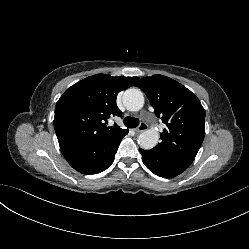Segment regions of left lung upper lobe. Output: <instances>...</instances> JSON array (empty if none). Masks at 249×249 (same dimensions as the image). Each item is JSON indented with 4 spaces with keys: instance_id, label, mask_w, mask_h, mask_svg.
<instances>
[{
    "instance_id": "left-lung-upper-lobe-1",
    "label": "left lung upper lobe",
    "mask_w": 249,
    "mask_h": 249,
    "mask_svg": "<svg viewBox=\"0 0 249 249\" xmlns=\"http://www.w3.org/2000/svg\"><path fill=\"white\" fill-rule=\"evenodd\" d=\"M135 86L147 95L156 116L167 126L151 151L193 161L205 135V110L196 95L163 75L138 79Z\"/></svg>"
}]
</instances>
